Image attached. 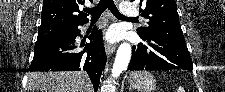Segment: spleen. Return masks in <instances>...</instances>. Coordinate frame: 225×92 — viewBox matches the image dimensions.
<instances>
[{
  "label": "spleen",
  "mask_w": 225,
  "mask_h": 92,
  "mask_svg": "<svg viewBox=\"0 0 225 92\" xmlns=\"http://www.w3.org/2000/svg\"><path fill=\"white\" fill-rule=\"evenodd\" d=\"M181 91H182V88H181V87H179V88H178V92H181Z\"/></svg>",
  "instance_id": "1"
}]
</instances>
